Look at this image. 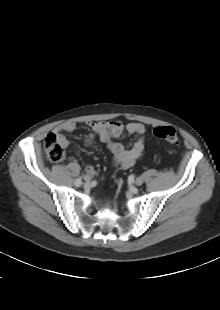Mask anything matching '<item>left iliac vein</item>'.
I'll list each match as a JSON object with an SVG mask.
<instances>
[{
    "instance_id": "1",
    "label": "left iliac vein",
    "mask_w": 220,
    "mask_h": 310,
    "mask_svg": "<svg viewBox=\"0 0 220 310\" xmlns=\"http://www.w3.org/2000/svg\"><path fill=\"white\" fill-rule=\"evenodd\" d=\"M135 185L140 186L143 184V179L141 177L136 178Z\"/></svg>"
}]
</instances>
